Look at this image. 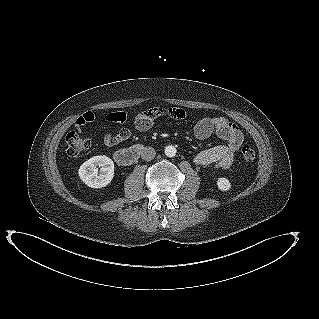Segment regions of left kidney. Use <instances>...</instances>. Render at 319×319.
I'll return each mask as SVG.
<instances>
[{
	"mask_svg": "<svg viewBox=\"0 0 319 319\" xmlns=\"http://www.w3.org/2000/svg\"><path fill=\"white\" fill-rule=\"evenodd\" d=\"M217 186L221 191H228L231 187V184L227 178H218Z\"/></svg>",
	"mask_w": 319,
	"mask_h": 319,
	"instance_id": "left-kidney-1",
	"label": "left kidney"
}]
</instances>
